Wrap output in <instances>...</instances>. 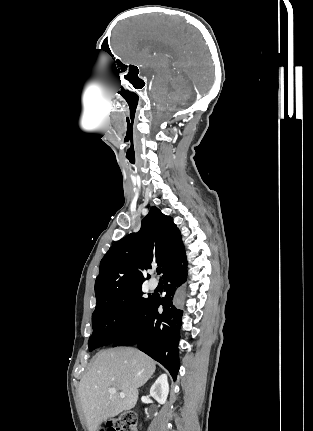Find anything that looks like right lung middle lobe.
Instances as JSON below:
<instances>
[{"instance_id": "obj_1", "label": "right lung middle lobe", "mask_w": 313, "mask_h": 431, "mask_svg": "<svg viewBox=\"0 0 313 431\" xmlns=\"http://www.w3.org/2000/svg\"><path fill=\"white\" fill-rule=\"evenodd\" d=\"M143 294L141 287H137L97 303L92 315L90 352L112 344L137 322L151 300V296L146 299Z\"/></svg>"}]
</instances>
